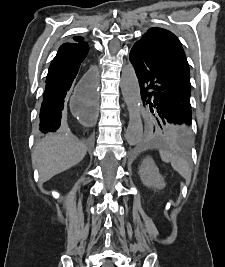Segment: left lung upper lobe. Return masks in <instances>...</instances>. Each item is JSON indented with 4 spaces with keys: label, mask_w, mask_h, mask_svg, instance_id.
<instances>
[{
    "label": "left lung upper lobe",
    "mask_w": 225,
    "mask_h": 267,
    "mask_svg": "<svg viewBox=\"0 0 225 267\" xmlns=\"http://www.w3.org/2000/svg\"><path fill=\"white\" fill-rule=\"evenodd\" d=\"M142 38L150 40L155 45L178 51L185 55L178 38L170 31L162 28H150ZM155 126L165 136L173 139L181 145H187L191 141L190 128L175 124L155 116Z\"/></svg>",
    "instance_id": "left-lung-upper-lobe-1"
}]
</instances>
